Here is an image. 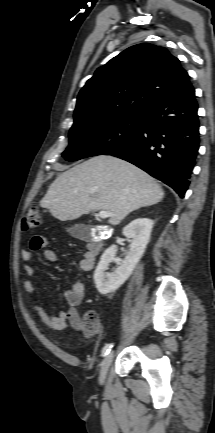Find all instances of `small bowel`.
I'll list each match as a JSON object with an SVG mask.
<instances>
[{
  "mask_svg": "<svg viewBox=\"0 0 215 433\" xmlns=\"http://www.w3.org/2000/svg\"><path fill=\"white\" fill-rule=\"evenodd\" d=\"M41 250L46 261L56 263L58 257L56 252L46 246V240L43 237L36 236L32 238L29 244V249L22 251V259L29 262L33 257L34 251ZM95 257L88 250L83 253L80 261V269L82 271H90L94 267ZM27 279L24 281V289L30 300L32 310L37 314L40 320L53 330H65L68 327L81 329L84 323L80 319L77 308L81 305L85 297V286L82 281H74L70 288L65 291V300L69 306L66 313L59 312L57 314H49L40 303L36 288L31 280L35 274L34 268L27 264L24 267Z\"/></svg>",
  "mask_w": 215,
  "mask_h": 433,
  "instance_id": "obj_1",
  "label": "small bowel"
}]
</instances>
